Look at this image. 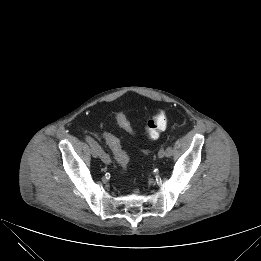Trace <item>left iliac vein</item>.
<instances>
[{
	"label": "left iliac vein",
	"mask_w": 261,
	"mask_h": 261,
	"mask_svg": "<svg viewBox=\"0 0 261 261\" xmlns=\"http://www.w3.org/2000/svg\"><path fill=\"white\" fill-rule=\"evenodd\" d=\"M165 156H166V150L164 148L160 149L159 152H158V157L160 159H162Z\"/></svg>",
	"instance_id": "4c4485c4"
}]
</instances>
